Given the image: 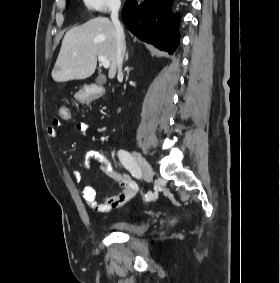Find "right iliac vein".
I'll return each instance as SVG.
<instances>
[{
    "label": "right iliac vein",
    "instance_id": "1",
    "mask_svg": "<svg viewBox=\"0 0 280 283\" xmlns=\"http://www.w3.org/2000/svg\"><path fill=\"white\" fill-rule=\"evenodd\" d=\"M133 155L141 168L144 179L149 182L154 174L152 167L140 152L134 151Z\"/></svg>",
    "mask_w": 280,
    "mask_h": 283
}]
</instances>
